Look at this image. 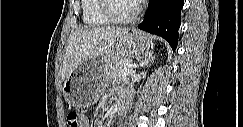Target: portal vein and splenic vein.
<instances>
[{
    "mask_svg": "<svg viewBox=\"0 0 243 127\" xmlns=\"http://www.w3.org/2000/svg\"><path fill=\"white\" fill-rule=\"evenodd\" d=\"M134 73L135 71L132 70V68H124L123 70H121V74L123 75H132Z\"/></svg>",
    "mask_w": 243,
    "mask_h": 127,
    "instance_id": "1",
    "label": "portal vein and splenic vein"
}]
</instances>
